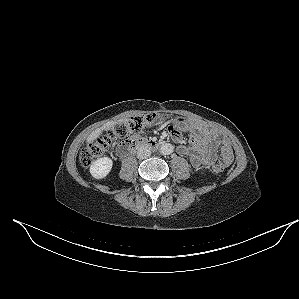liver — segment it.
<instances>
[{"label":"liver","instance_id":"liver-1","mask_svg":"<svg viewBox=\"0 0 299 299\" xmlns=\"http://www.w3.org/2000/svg\"><path fill=\"white\" fill-rule=\"evenodd\" d=\"M128 119L125 118V119H120L118 121L119 124H122V123H126ZM117 122L115 121H109L107 122L106 124H104L102 127L100 128H97L95 129L88 137H87V140L86 142L87 143H92L93 141H95L97 138L100 137V135L102 134L103 131H106V130H110L112 128H114V125H116Z\"/></svg>","mask_w":299,"mask_h":299}]
</instances>
